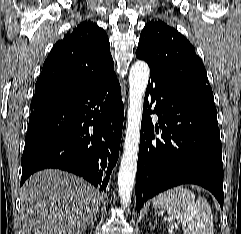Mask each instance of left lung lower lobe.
<instances>
[{
	"label": "left lung lower lobe",
	"mask_w": 241,
	"mask_h": 234,
	"mask_svg": "<svg viewBox=\"0 0 241 234\" xmlns=\"http://www.w3.org/2000/svg\"><path fill=\"white\" fill-rule=\"evenodd\" d=\"M152 113L158 116L157 136ZM216 115L213 98L150 72L140 132L137 211L149 198L183 183L208 189L223 208L222 145Z\"/></svg>",
	"instance_id": "0a47b994"
}]
</instances>
